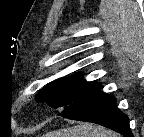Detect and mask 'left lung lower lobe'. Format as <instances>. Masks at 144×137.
Returning <instances> with one entry per match:
<instances>
[{
  "label": "left lung lower lobe",
  "instance_id": "left-lung-lower-lobe-1",
  "mask_svg": "<svg viewBox=\"0 0 144 137\" xmlns=\"http://www.w3.org/2000/svg\"><path fill=\"white\" fill-rule=\"evenodd\" d=\"M100 89L99 84L93 89L85 90L59 115L67 119L100 124L124 137H133L129 127V119L116 107V99L103 93Z\"/></svg>",
  "mask_w": 144,
  "mask_h": 137
}]
</instances>
